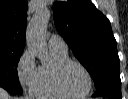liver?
Listing matches in <instances>:
<instances>
[{
  "instance_id": "liver-1",
  "label": "liver",
  "mask_w": 128,
  "mask_h": 99,
  "mask_svg": "<svg viewBox=\"0 0 128 99\" xmlns=\"http://www.w3.org/2000/svg\"><path fill=\"white\" fill-rule=\"evenodd\" d=\"M0 99H12V98L4 89L0 88Z\"/></svg>"
}]
</instances>
